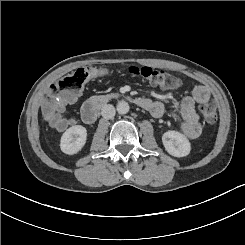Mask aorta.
Masks as SVG:
<instances>
[{"label":"aorta","instance_id":"obj_1","mask_svg":"<svg viewBox=\"0 0 245 245\" xmlns=\"http://www.w3.org/2000/svg\"><path fill=\"white\" fill-rule=\"evenodd\" d=\"M116 109L119 114L123 115L129 112L130 107L126 101H120L118 102Z\"/></svg>","mask_w":245,"mask_h":245}]
</instances>
